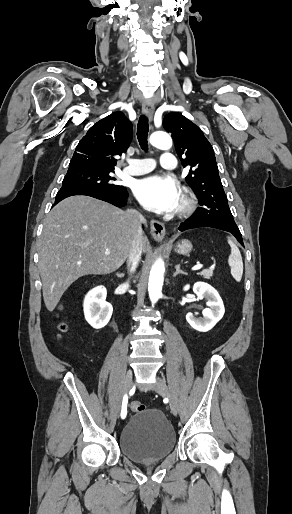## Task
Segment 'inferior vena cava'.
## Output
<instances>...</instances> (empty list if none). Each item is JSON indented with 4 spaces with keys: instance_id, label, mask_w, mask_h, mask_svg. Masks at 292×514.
Instances as JSON below:
<instances>
[{
    "instance_id": "1",
    "label": "inferior vena cava",
    "mask_w": 292,
    "mask_h": 514,
    "mask_svg": "<svg viewBox=\"0 0 292 514\" xmlns=\"http://www.w3.org/2000/svg\"><path fill=\"white\" fill-rule=\"evenodd\" d=\"M127 216L131 218L132 224L136 230V234L134 236V240L132 242V246L127 258L128 270L130 274H133L140 262L142 254L143 230L141 226L142 224H146V220L144 216L139 214V212H136V210H128Z\"/></svg>"
}]
</instances>
